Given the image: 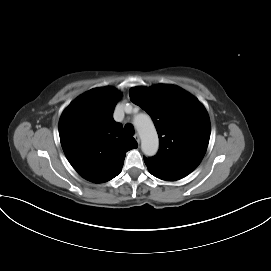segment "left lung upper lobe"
I'll return each instance as SVG.
<instances>
[{"instance_id":"obj_1","label":"left lung upper lobe","mask_w":271,"mask_h":271,"mask_svg":"<svg viewBox=\"0 0 271 271\" xmlns=\"http://www.w3.org/2000/svg\"><path fill=\"white\" fill-rule=\"evenodd\" d=\"M130 99L154 121L159 135L156 162L192 172L201 162L210 138V120L203 105L174 85L130 89Z\"/></svg>"}]
</instances>
